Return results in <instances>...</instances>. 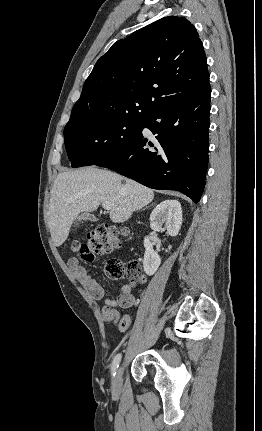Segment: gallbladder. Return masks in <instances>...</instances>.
Returning a JSON list of instances; mask_svg holds the SVG:
<instances>
[{"instance_id":"obj_1","label":"gallbladder","mask_w":262,"mask_h":431,"mask_svg":"<svg viewBox=\"0 0 262 431\" xmlns=\"http://www.w3.org/2000/svg\"><path fill=\"white\" fill-rule=\"evenodd\" d=\"M86 219L96 220L95 216L88 214V213H83L77 218L76 225L78 224V222H81V221L86 220Z\"/></svg>"}]
</instances>
